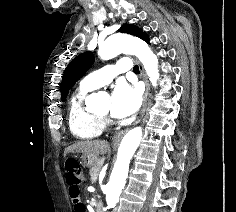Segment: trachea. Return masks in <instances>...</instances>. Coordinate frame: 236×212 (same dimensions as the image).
Instances as JSON below:
<instances>
[{"mask_svg": "<svg viewBox=\"0 0 236 212\" xmlns=\"http://www.w3.org/2000/svg\"><path fill=\"white\" fill-rule=\"evenodd\" d=\"M133 72L139 73V67H138V65H135V66L133 67Z\"/></svg>", "mask_w": 236, "mask_h": 212, "instance_id": "3493384b", "label": "trachea"}]
</instances>
